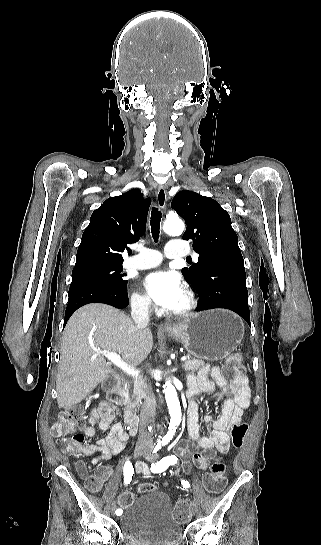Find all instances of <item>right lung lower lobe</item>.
I'll use <instances>...</instances> for the list:
<instances>
[{"label":"right lung lower lobe","mask_w":321,"mask_h":545,"mask_svg":"<svg viewBox=\"0 0 321 545\" xmlns=\"http://www.w3.org/2000/svg\"><path fill=\"white\" fill-rule=\"evenodd\" d=\"M89 303H105L119 309L125 308L129 304L127 287H117L96 279H73L69 288L64 324L78 308Z\"/></svg>","instance_id":"right-lung-lower-lobe-1"}]
</instances>
